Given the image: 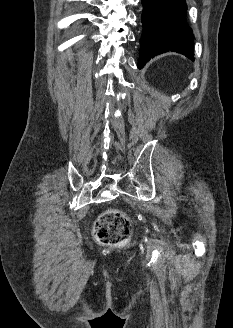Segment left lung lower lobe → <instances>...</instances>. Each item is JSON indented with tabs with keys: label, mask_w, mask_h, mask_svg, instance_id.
Instances as JSON below:
<instances>
[{
	"label": "left lung lower lobe",
	"mask_w": 233,
	"mask_h": 328,
	"mask_svg": "<svg viewBox=\"0 0 233 328\" xmlns=\"http://www.w3.org/2000/svg\"><path fill=\"white\" fill-rule=\"evenodd\" d=\"M142 4L143 32L138 68L167 51L181 53L193 61V33L185 23V0H142Z\"/></svg>",
	"instance_id": "0a47b994"
}]
</instances>
